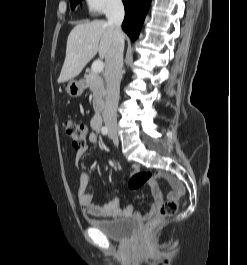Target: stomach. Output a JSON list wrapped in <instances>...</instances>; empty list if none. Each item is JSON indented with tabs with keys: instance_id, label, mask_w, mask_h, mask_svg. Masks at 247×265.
Masks as SVG:
<instances>
[{
	"instance_id": "obj_1",
	"label": "stomach",
	"mask_w": 247,
	"mask_h": 265,
	"mask_svg": "<svg viewBox=\"0 0 247 265\" xmlns=\"http://www.w3.org/2000/svg\"><path fill=\"white\" fill-rule=\"evenodd\" d=\"M85 89V83L82 80H70L66 91L70 97L77 98L82 95Z\"/></svg>"
}]
</instances>
